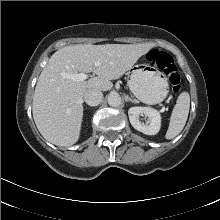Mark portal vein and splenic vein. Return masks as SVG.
<instances>
[{
	"label": "portal vein and splenic vein",
	"mask_w": 220,
	"mask_h": 220,
	"mask_svg": "<svg viewBox=\"0 0 220 220\" xmlns=\"http://www.w3.org/2000/svg\"><path fill=\"white\" fill-rule=\"evenodd\" d=\"M101 63L99 61L94 63L95 67H99ZM62 76L64 78L72 79L74 81H85L88 79V75L85 73H76V74H67V73H62ZM164 110V108H162Z\"/></svg>",
	"instance_id": "18ae733b"
}]
</instances>
